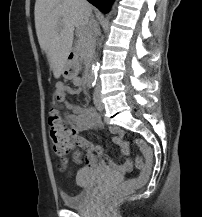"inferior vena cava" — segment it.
Wrapping results in <instances>:
<instances>
[{"instance_id": "602c4592", "label": "inferior vena cava", "mask_w": 202, "mask_h": 217, "mask_svg": "<svg viewBox=\"0 0 202 217\" xmlns=\"http://www.w3.org/2000/svg\"><path fill=\"white\" fill-rule=\"evenodd\" d=\"M83 3H87L86 0H82ZM87 16H88V24H87V29L92 33L93 35V41L96 42L97 37L99 35V26L97 21L94 19L92 16L91 11L87 10Z\"/></svg>"}]
</instances>
